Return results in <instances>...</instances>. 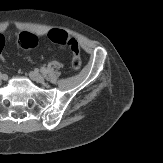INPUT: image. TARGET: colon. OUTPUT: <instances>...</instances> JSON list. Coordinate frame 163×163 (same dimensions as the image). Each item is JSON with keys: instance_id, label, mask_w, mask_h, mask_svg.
I'll return each mask as SVG.
<instances>
[{"instance_id": "colon-1", "label": "colon", "mask_w": 163, "mask_h": 163, "mask_svg": "<svg viewBox=\"0 0 163 163\" xmlns=\"http://www.w3.org/2000/svg\"><path fill=\"white\" fill-rule=\"evenodd\" d=\"M47 38L50 42L66 46L71 52V65L74 69L81 67L82 61L80 56V48L78 42L69 36L67 32L61 29L50 30L47 34ZM18 44L24 50L33 49L38 45V38L29 32H23L18 36ZM5 46V40L0 36V58Z\"/></svg>"}]
</instances>
